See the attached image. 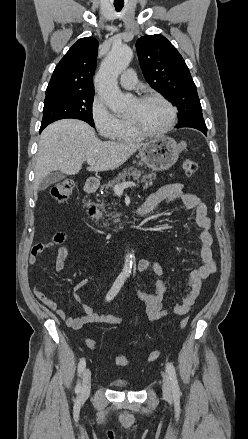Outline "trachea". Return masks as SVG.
I'll use <instances>...</instances> for the list:
<instances>
[{
  "label": "trachea",
  "instance_id": "obj_1",
  "mask_svg": "<svg viewBox=\"0 0 248 439\" xmlns=\"http://www.w3.org/2000/svg\"><path fill=\"white\" fill-rule=\"evenodd\" d=\"M114 6H115V9H116L117 12L121 11L122 8H123V4H121V5H116L115 4Z\"/></svg>",
  "mask_w": 248,
  "mask_h": 439
}]
</instances>
